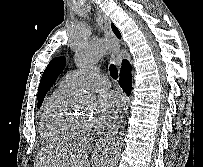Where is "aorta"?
Returning a JSON list of instances; mask_svg holds the SVG:
<instances>
[{"instance_id":"762f6f07","label":"aorta","mask_w":203,"mask_h":167,"mask_svg":"<svg viewBox=\"0 0 203 167\" xmlns=\"http://www.w3.org/2000/svg\"><path fill=\"white\" fill-rule=\"evenodd\" d=\"M110 44L102 39H95L90 42L81 44L75 54V62L78 67L85 68L97 63L107 52ZM82 100H87L89 95L84 90L78 92ZM121 148L119 142L111 141L105 147L100 161V167H116Z\"/></svg>"}]
</instances>
